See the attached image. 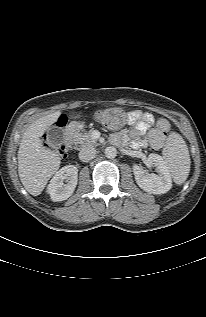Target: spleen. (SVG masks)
Here are the masks:
<instances>
[{"label":"spleen","mask_w":206,"mask_h":317,"mask_svg":"<svg viewBox=\"0 0 206 317\" xmlns=\"http://www.w3.org/2000/svg\"><path fill=\"white\" fill-rule=\"evenodd\" d=\"M162 154L174 182L178 185L183 184L190 171V155L182 136L171 132Z\"/></svg>","instance_id":"spleen-1"}]
</instances>
